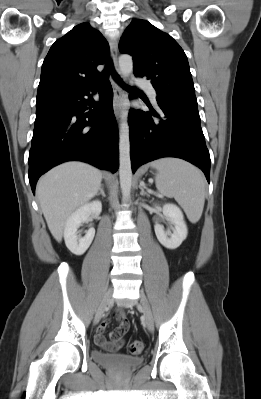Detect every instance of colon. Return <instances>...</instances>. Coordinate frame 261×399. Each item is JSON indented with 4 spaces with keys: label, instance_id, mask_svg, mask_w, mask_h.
<instances>
[{
    "label": "colon",
    "instance_id": "colon-1",
    "mask_svg": "<svg viewBox=\"0 0 261 399\" xmlns=\"http://www.w3.org/2000/svg\"><path fill=\"white\" fill-rule=\"evenodd\" d=\"M144 350V344L141 341H133L128 345V351L132 355H139Z\"/></svg>",
    "mask_w": 261,
    "mask_h": 399
}]
</instances>
